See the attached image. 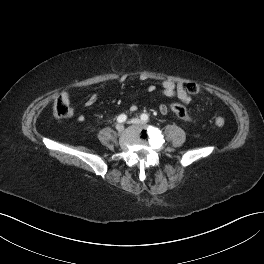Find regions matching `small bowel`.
Listing matches in <instances>:
<instances>
[{
  "label": "small bowel",
  "instance_id": "1",
  "mask_svg": "<svg viewBox=\"0 0 264 264\" xmlns=\"http://www.w3.org/2000/svg\"><path fill=\"white\" fill-rule=\"evenodd\" d=\"M146 79H147L146 76H141V80H146ZM126 80H127V76H122L119 79L121 90H123ZM161 88H162V95L165 97H177L184 104H188L191 101L190 95L186 91L184 84L181 82L176 83L172 80H164L161 82ZM155 90H156V87L154 85H150L148 87L149 92H154ZM59 98L68 104L70 102V94L67 91L62 92ZM96 101H97L96 95L94 94L90 95L88 99L85 101V105L92 106L96 103ZM135 108H136L135 106H131L132 110H135ZM158 110L161 114H166L168 111V108L165 104H161L159 105ZM84 120H85V117L83 115L77 116L78 122L81 123V122H84Z\"/></svg>",
  "mask_w": 264,
  "mask_h": 264
}]
</instances>
